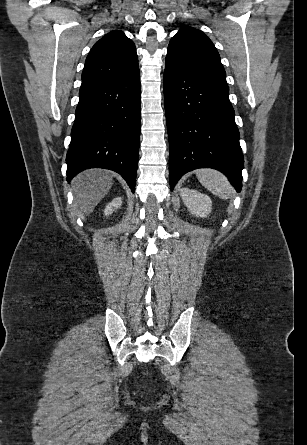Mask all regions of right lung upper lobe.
<instances>
[{"instance_id":"cb5924a9","label":"right lung upper lobe","mask_w":307,"mask_h":445,"mask_svg":"<svg viewBox=\"0 0 307 445\" xmlns=\"http://www.w3.org/2000/svg\"><path fill=\"white\" fill-rule=\"evenodd\" d=\"M138 66L135 44L119 30L95 43L86 58L82 85L122 76Z\"/></svg>"}]
</instances>
